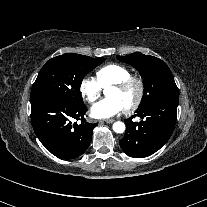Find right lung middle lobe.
<instances>
[{"label":"right lung middle lobe","instance_id":"dd1d6c3e","mask_svg":"<svg viewBox=\"0 0 207 207\" xmlns=\"http://www.w3.org/2000/svg\"><path fill=\"white\" fill-rule=\"evenodd\" d=\"M105 59L75 53L54 57L40 70L31 90V99L55 96L72 104H83L80 86L83 78Z\"/></svg>","mask_w":207,"mask_h":207}]
</instances>
